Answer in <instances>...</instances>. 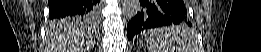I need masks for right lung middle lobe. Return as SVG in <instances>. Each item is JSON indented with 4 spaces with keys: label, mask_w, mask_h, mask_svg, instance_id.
<instances>
[{
    "label": "right lung middle lobe",
    "mask_w": 261,
    "mask_h": 52,
    "mask_svg": "<svg viewBox=\"0 0 261 52\" xmlns=\"http://www.w3.org/2000/svg\"><path fill=\"white\" fill-rule=\"evenodd\" d=\"M87 23L93 24L96 22V18H90L88 16H75V17H64V18H56L53 20L51 24H59L61 26H70L74 23Z\"/></svg>",
    "instance_id": "dd1d6c3e"
}]
</instances>
